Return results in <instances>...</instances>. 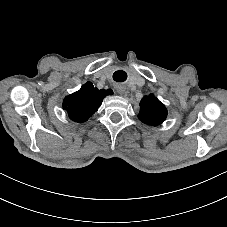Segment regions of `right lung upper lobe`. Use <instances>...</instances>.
<instances>
[{"label":"right lung upper lobe","mask_w":227,"mask_h":227,"mask_svg":"<svg viewBox=\"0 0 227 227\" xmlns=\"http://www.w3.org/2000/svg\"><path fill=\"white\" fill-rule=\"evenodd\" d=\"M111 90H98L92 83L87 82L79 91L67 96L63 108L67 110L69 118L75 122L86 121L101 105Z\"/></svg>","instance_id":"cb5924a9"}]
</instances>
